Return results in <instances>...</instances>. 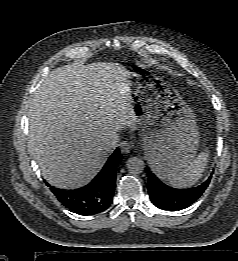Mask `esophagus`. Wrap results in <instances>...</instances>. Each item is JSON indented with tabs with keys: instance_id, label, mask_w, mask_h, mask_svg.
<instances>
[{
	"instance_id": "1",
	"label": "esophagus",
	"mask_w": 238,
	"mask_h": 261,
	"mask_svg": "<svg viewBox=\"0 0 238 261\" xmlns=\"http://www.w3.org/2000/svg\"><path fill=\"white\" fill-rule=\"evenodd\" d=\"M133 148V143L131 141H123L120 144V150L123 154H128Z\"/></svg>"
}]
</instances>
